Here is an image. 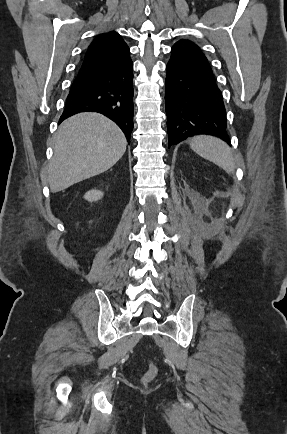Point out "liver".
<instances>
[{"mask_svg": "<svg viewBox=\"0 0 287 434\" xmlns=\"http://www.w3.org/2000/svg\"><path fill=\"white\" fill-rule=\"evenodd\" d=\"M126 145L120 128L101 114L85 112L68 118L54 137V155L47 169L51 192L107 171L124 155Z\"/></svg>", "mask_w": 287, "mask_h": 434, "instance_id": "obj_1", "label": "liver"}]
</instances>
